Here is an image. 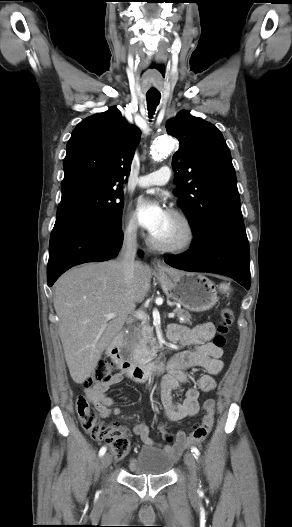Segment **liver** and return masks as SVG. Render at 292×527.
Masks as SVG:
<instances>
[{"label":"liver","instance_id":"6515ba94","mask_svg":"<svg viewBox=\"0 0 292 527\" xmlns=\"http://www.w3.org/2000/svg\"><path fill=\"white\" fill-rule=\"evenodd\" d=\"M150 270L135 262L126 283L121 262L89 263L62 275L54 287L59 336L74 382L82 384L95 371L101 355L122 329L128 314L150 290ZM116 316L107 319L106 315Z\"/></svg>","mask_w":292,"mask_h":527}]
</instances>
